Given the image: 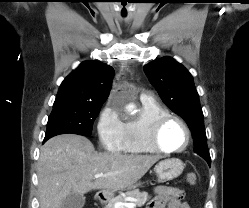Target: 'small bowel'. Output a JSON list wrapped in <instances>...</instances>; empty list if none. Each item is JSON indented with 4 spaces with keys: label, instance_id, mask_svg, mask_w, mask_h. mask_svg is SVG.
<instances>
[{
    "label": "small bowel",
    "instance_id": "obj_1",
    "mask_svg": "<svg viewBox=\"0 0 249 208\" xmlns=\"http://www.w3.org/2000/svg\"><path fill=\"white\" fill-rule=\"evenodd\" d=\"M184 191L167 186L155 188V196L146 208H190L188 203L183 202Z\"/></svg>",
    "mask_w": 249,
    "mask_h": 208
}]
</instances>
